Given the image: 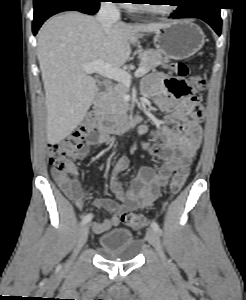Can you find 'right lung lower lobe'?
Here are the masks:
<instances>
[{
  "label": "right lung lower lobe",
  "mask_w": 246,
  "mask_h": 300,
  "mask_svg": "<svg viewBox=\"0 0 246 300\" xmlns=\"http://www.w3.org/2000/svg\"><path fill=\"white\" fill-rule=\"evenodd\" d=\"M102 0H34L33 34L36 35L43 22L50 16L63 11L76 10L95 14Z\"/></svg>",
  "instance_id": "98d812e1"
}]
</instances>
